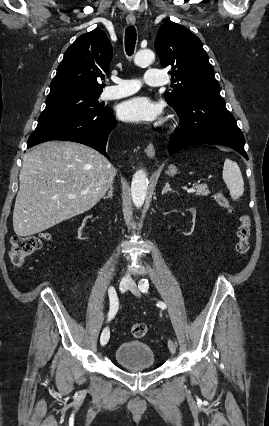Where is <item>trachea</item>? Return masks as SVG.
Instances as JSON below:
<instances>
[{
    "mask_svg": "<svg viewBox=\"0 0 269 426\" xmlns=\"http://www.w3.org/2000/svg\"><path fill=\"white\" fill-rule=\"evenodd\" d=\"M136 29L134 26H129L125 30V49L126 53L131 56L134 52L136 44Z\"/></svg>",
    "mask_w": 269,
    "mask_h": 426,
    "instance_id": "trachea-1",
    "label": "trachea"
}]
</instances>
